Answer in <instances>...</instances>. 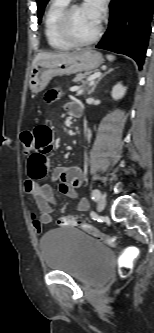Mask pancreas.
<instances>
[{
    "label": "pancreas",
    "mask_w": 154,
    "mask_h": 333,
    "mask_svg": "<svg viewBox=\"0 0 154 333\" xmlns=\"http://www.w3.org/2000/svg\"><path fill=\"white\" fill-rule=\"evenodd\" d=\"M87 75H88V73L77 74L76 77L73 79V82H75V83H79V82L85 83V79H86Z\"/></svg>",
    "instance_id": "pancreas-1"
}]
</instances>
